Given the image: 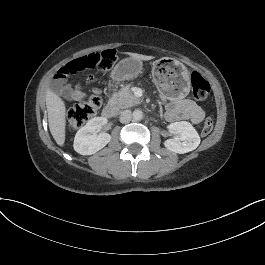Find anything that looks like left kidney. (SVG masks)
<instances>
[{
	"instance_id": "obj_1",
	"label": "left kidney",
	"mask_w": 265,
	"mask_h": 265,
	"mask_svg": "<svg viewBox=\"0 0 265 265\" xmlns=\"http://www.w3.org/2000/svg\"><path fill=\"white\" fill-rule=\"evenodd\" d=\"M170 133L176 134L164 142L165 147L175 153L193 151L200 144V137L194 127L186 121L174 122L167 126Z\"/></svg>"
}]
</instances>
